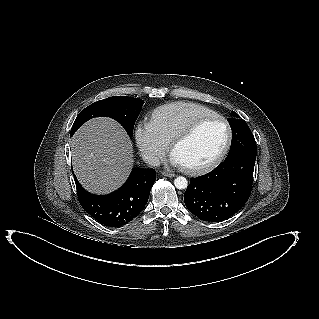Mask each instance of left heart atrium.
<instances>
[{"instance_id": "obj_1", "label": "left heart atrium", "mask_w": 319, "mask_h": 319, "mask_svg": "<svg viewBox=\"0 0 319 319\" xmlns=\"http://www.w3.org/2000/svg\"><path fill=\"white\" fill-rule=\"evenodd\" d=\"M170 162L173 165H181L180 161L178 160V158L172 153L171 157H170Z\"/></svg>"}]
</instances>
